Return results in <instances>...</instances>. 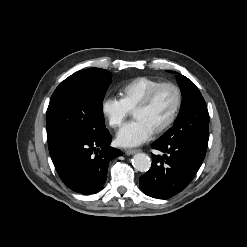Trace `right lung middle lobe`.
Wrapping results in <instances>:
<instances>
[{"instance_id":"dd1d6c3e","label":"right lung middle lobe","mask_w":247,"mask_h":247,"mask_svg":"<svg viewBox=\"0 0 247 247\" xmlns=\"http://www.w3.org/2000/svg\"><path fill=\"white\" fill-rule=\"evenodd\" d=\"M110 83V72L89 68L72 74L56 88L47 109L48 147L106 129L102 102Z\"/></svg>"}]
</instances>
